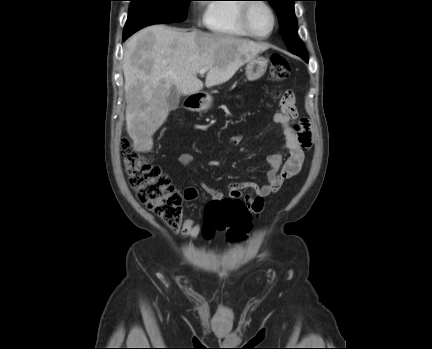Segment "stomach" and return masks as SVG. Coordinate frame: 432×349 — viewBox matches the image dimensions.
<instances>
[{
  "mask_svg": "<svg viewBox=\"0 0 432 349\" xmlns=\"http://www.w3.org/2000/svg\"><path fill=\"white\" fill-rule=\"evenodd\" d=\"M268 65V59L263 56H256L253 59H251L249 62H247L246 68H245V74L249 81H255L259 78H261L266 70ZM212 97L210 95H206V97H203L201 99V102L199 104V109L201 111L208 110L212 105Z\"/></svg>",
  "mask_w": 432,
  "mask_h": 349,
  "instance_id": "1",
  "label": "stomach"
}]
</instances>
